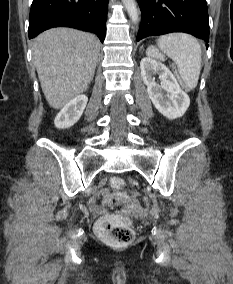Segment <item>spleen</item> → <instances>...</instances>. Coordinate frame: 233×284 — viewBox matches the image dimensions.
Listing matches in <instances>:
<instances>
[{"label":"spleen","instance_id":"spleen-1","mask_svg":"<svg viewBox=\"0 0 233 284\" xmlns=\"http://www.w3.org/2000/svg\"><path fill=\"white\" fill-rule=\"evenodd\" d=\"M158 47H149L147 55L161 58L163 54L176 64L185 86L194 89L201 71V46L197 39L184 33H171L158 39Z\"/></svg>","mask_w":233,"mask_h":284}]
</instances>
